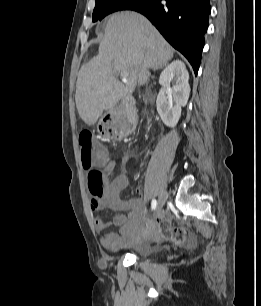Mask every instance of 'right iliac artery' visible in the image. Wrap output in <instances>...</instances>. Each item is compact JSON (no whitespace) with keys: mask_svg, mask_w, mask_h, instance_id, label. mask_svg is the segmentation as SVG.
Instances as JSON below:
<instances>
[{"mask_svg":"<svg viewBox=\"0 0 261 306\" xmlns=\"http://www.w3.org/2000/svg\"><path fill=\"white\" fill-rule=\"evenodd\" d=\"M157 206V201L155 199L152 200V203H151V208L152 210H154Z\"/></svg>","mask_w":261,"mask_h":306,"instance_id":"82829eb1","label":"right iliac artery"}]
</instances>
